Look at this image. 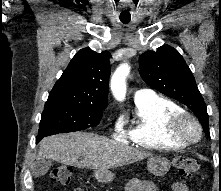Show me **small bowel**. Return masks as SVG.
<instances>
[{"label":"small bowel","mask_w":221,"mask_h":191,"mask_svg":"<svg viewBox=\"0 0 221 191\" xmlns=\"http://www.w3.org/2000/svg\"><path fill=\"white\" fill-rule=\"evenodd\" d=\"M173 191H189L182 182H175L172 185ZM126 191H157L156 186L149 180L134 178L129 181Z\"/></svg>","instance_id":"c3829d8e"}]
</instances>
